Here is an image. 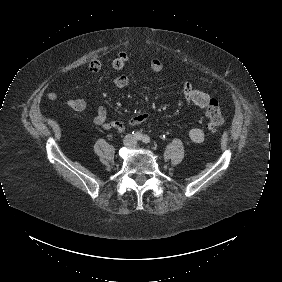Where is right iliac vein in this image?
<instances>
[{
	"label": "right iliac vein",
	"mask_w": 282,
	"mask_h": 282,
	"mask_svg": "<svg viewBox=\"0 0 282 282\" xmlns=\"http://www.w3.org/2000/svg\"><path fill=\"white\" fill-rule=\"evenodd\" d=\"M131 143V138L130 137H127L125 140H124V144L125 145H129Z\"/></svg>",
	"instance_id": "63e3f726"
}]
</instances>
